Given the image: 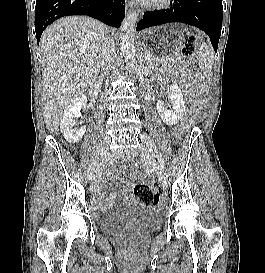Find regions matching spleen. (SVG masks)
I'll return each instance as SVG.
<instances>
[{"label": "spleen", "mask_w": 265, "mask_h": 273, "mask_svg": "<svg viewBox=\"0 0 265 273\" xmlns=\"http://www.w3.org/2000/svg\"><path fill=\"white\" fill-rule=\"evenodd\" d=\"M199 64L206 76L212 75L213 52L211 47L205 43L200 47Z\"/></svg>", "instance_id": "spleen-1"}]
</instances>
